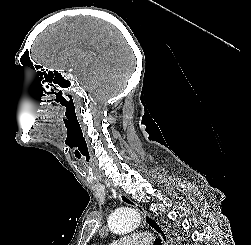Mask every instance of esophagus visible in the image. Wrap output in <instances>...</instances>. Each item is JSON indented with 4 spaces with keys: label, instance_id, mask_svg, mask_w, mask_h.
Masks as SVG:
<instances>
[{
    "label": "esophagus",
    "instance_id": "1",
    "mask_svg": "<svg viewBox=\"0 0 251 245\" xmlns=\"http://www.w3.org/2000/svg\"><path fill=\"white\" fill-rule=\"evenodd\" d=\"M107 187H111L109 182H105ZM118 198L125 204L134 207L142 216L144 223L149 226L162 240V245H173V238L169 235L166 228H164L154 217L148 214L140 205L133 201L127 195L117 192Z\"/></svg>",
    "mask_w": 251,
    "mask_h": 245
}]
</instances>
